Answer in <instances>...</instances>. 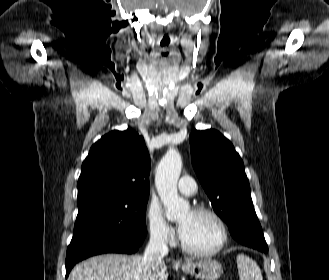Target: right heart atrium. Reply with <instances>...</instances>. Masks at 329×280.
<instances>
[{"instance_id": "obj_1", "label": "right heart atrium", "mask_w": 329, "mask_h": 280, "mask_svg": "<svg viewBox=\"0 0 329 280\" xmlns=\"http://www.w3.org/2000/svg\"><path fill=\"white\" fill-rule=\"evenodd\" d=\"M147 228L150 239L161 245H169L174 238V231L165 220L163 213L155 204H150L146 212Z\"/></svg>"}]
</instances>
